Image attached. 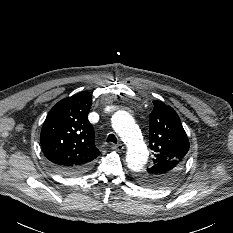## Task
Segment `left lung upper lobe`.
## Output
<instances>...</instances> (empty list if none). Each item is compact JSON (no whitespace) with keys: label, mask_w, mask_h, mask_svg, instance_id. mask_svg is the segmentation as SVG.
Returning a JSON list of instances; mask_svg holds the SVG:
<instances>
[{"label":"left lung upper lobe","mask_w":233,"mask_h":233,"mask_svg":"<svg viewBox=\"0 0 233 233\" xmlns=\"http://www.w3.org/2000/svg\"><path fill=\"white\" fill-rule=\"evenodd\" d=\"M150 114V148L154 165L147 169L152 183L162 182L176 174L189 150V141L175 110L161 101H153Z\"/></svg>","instance_id":"5c2ea615"}]
</instances>
